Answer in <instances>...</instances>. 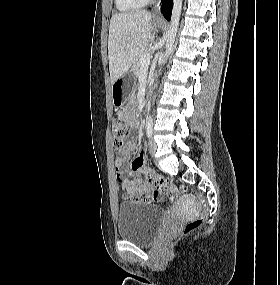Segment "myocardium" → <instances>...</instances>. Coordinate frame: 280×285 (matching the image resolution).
<instances>
[{
	"label": "myocardium",
	"mask_w": 280,
	"mask_h": 285,
	"mask_svg": "<svg viewBox=\"0 0 280 285\" xmlns=\"http://www.w3.org/2000/svg\"><path fill=\"white\" fill-rule=\"evenodd\" d=\"M145 2L151 1V0H144Z\"/></svg>",
	"instance_id": "f54148a6"
}]
</instances>
